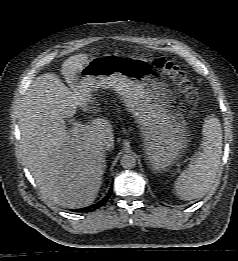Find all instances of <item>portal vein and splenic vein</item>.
<instances>
[{"label":"portal vein and splenic vein","instance_id":"portal-vein-and-splenic-vein-1","mask_svg":"<svg viewBox=\"0 0 238 261\" xmlns=\"http://www.w3.org/2000/svg\"><path fill=\"white\" fill-rule=\"evenodd\" d=\"M88 129V125H84V124H80V123H75L72 128H71V132L73 134H79V133H83Z\"/></svg>","mask_w":238,"mask_h":261}]
</instances>
